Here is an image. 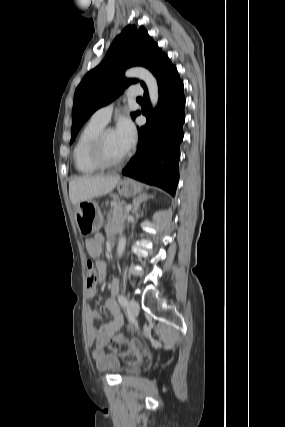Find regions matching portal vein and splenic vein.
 I'll return each mask as SVG.
<instances>
[{
  "label": "portal vein and splenic vein",
  "instance_id": "obj_1",
  "mask_svg": "<svg viewBox=\"0 0 285 427\" xmlns=\"http://www.w3.org/2000/svg\"><path fill=\"white\" fill-rule=\"evenodd\" d=\"M125 208H126V210L129 211V210H131L132 207H131V205H127Z\"/></svg>",
  "mask_w": 285,
  "mask_h": 427
}]
</instances>
